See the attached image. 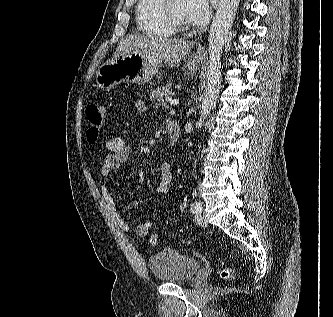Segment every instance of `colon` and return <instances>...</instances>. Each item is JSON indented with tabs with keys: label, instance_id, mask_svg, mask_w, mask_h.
<instances>
[{
	"label": "colon",
	"instance_id": "5ec220e1",
	"mask_svg": "<svg viewBox=\"0 0 333 317\" xmlns=\"http://www.w3.org/2000/svg\"><path fill=\"white\" fill-rule=\"evenodd\" d=\"M106 115V107L102 102L95 101L87 106V141L89 144H95L99 138L101 128L104 123ZM151 245L158 244V235L153 233L149 237ZM233 269L231 266H224L219 271V277L223 280H230L233 278Z\"/></svg>",
	"mask_w": 333,
	"mask_h": 317
}]
</instances>
